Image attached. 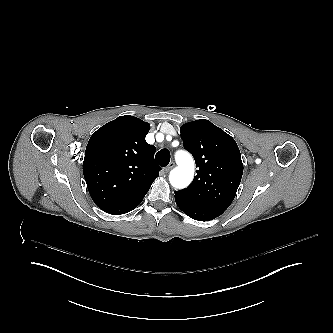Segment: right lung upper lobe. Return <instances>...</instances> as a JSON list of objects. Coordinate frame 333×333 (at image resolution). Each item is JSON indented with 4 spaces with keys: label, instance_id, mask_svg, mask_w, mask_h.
<instances>
[{
    "label": "right lung upper lobe",
    "instance_id": "cb5924a9",
    "mask_svg": "<svg viewBox=\"0 0 333 333\" xmlns=\"http://www.w3.org/2000/svg\"><path fill=\"white\" fill-rule=\"evenodd\" d=\"M150 124L133 116H120L94 132L87 144L83 162L84 177L97 163L105 166L107 181H88L94 202L110 196L121 183L133 179L152 183L161 167L154 161L155 147L146 142Z\"/></svg>",
    "mask_w": 333,
    "mask_h": 333
}]
</instances>
